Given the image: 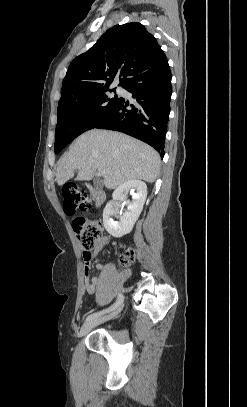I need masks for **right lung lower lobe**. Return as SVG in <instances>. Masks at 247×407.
Returning a JSON list of instances; mask_svg holds the SVG:
<instances>
[{
    "mask_svg": "<svg viewBox=\"0 0 247 407\" xmlns=\"http://www.w3.org/2000/svg\"><path fill=\"white\" fill-rule=\"evenodd\" d=\"M168 60L133 75L123 86L136 99L129 105L122 98L114 111L94 128L120 131L151 145L163 158L172 94Z\"/></svg>",
    "mask_w": 247,
    "mask_h": 407,
    "instance_id": "obj_1",
    "label": "right lung lower lobe"
}]
</instances>
